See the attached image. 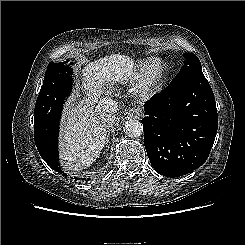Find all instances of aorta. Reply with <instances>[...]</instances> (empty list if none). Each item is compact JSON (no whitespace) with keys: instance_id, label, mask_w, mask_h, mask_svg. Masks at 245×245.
<instances>
[{"instance_id":"1","label":"aorta","mask_w":245,"mask_h":245,"mask_svg":"<svg viewBox=\"0 0 245 245\" xmlns=\"http://www.w3.org/2000/svg\"><path fill=\"white\" fill-rule=\"evenodd\" d=\"M124 133L130 138L139 137L143 133V125L138 120L130 119L124 125Z\"/></svg>"}]
</instances>
